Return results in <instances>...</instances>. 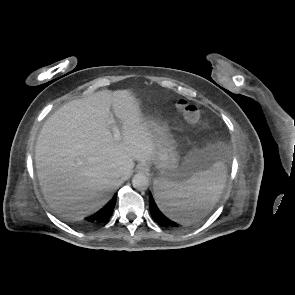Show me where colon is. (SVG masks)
I'll list each match as a JSON object with an SVG mask.
<instances>
[{"label":"colon","mask_w":295,"mask_h":295,"mask_svg":"<svg viewBox=\"0 0 295 295\" xmlns=\"http://www.w3.org/2000/svg\"><path fill=\"white\" fill-rule=\"evenodd\" d=\"M177 109L182 113L184 119L190 124L201 121V113L198 107L185 99H179L176 103Z\"/></svg>","instance_id":"obj_1"}]
</instances>
